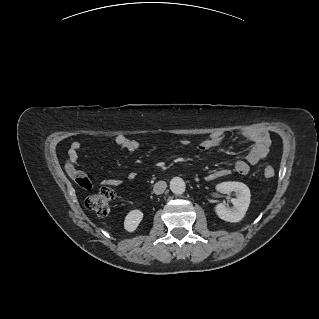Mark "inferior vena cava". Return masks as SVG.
Returning a JSON list of instances; mask_svg holds the SVG:
<instances>
[{
  "mask_svg": "<svg viewBox=\"0 0 319 319\" xmlns=\"http://www.w3.org/2000/svg\"><path fill=\"white\" fill-rule=\"evenodd\" d=\"M167 188L165 181H158L154 184L153 192L157 195L162 194Z\"/></svg>",
  "mask_w": 319,
  "mask_h": 319,
  "instance_id": "obj_1",
  "label": "inferior vena cava"
}]
</instances>
